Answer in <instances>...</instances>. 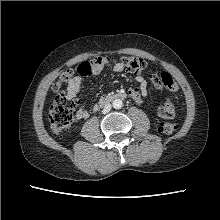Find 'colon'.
Segmentation results:
<instances>
[{"instance_id":"5ec220e1","label":"colon","mask_w":220,"mask_h":220,"mask_svg":"<svg viewBox=\"0 0 220 220\" xmlns=\"http://www.w3.org/2000/svg\"><path fill=\"white\" fill-rule=\"evenodd\" d=\"M110 57H96L92 60L95 64L109 63ZM121 62L126 69L132 73L139 74L143 72L147 63L144 59L137 56H126L121 58ZM84 74H89L92 69L88 63L83 64ZM78 72V68H77ZM75 74L74 69L62 71L58 80L52 85V91L55 94L54 102L49 111V120L51 131L60 136L67 132L75 121L77 113V103L72 100L69 95V83ZM150 80L154 86L166 92H174L177 90V83L173 76L167 72L161 74H150ZM175 107L170 101H166L158 110V114L164 121L159 126V131L162 134L169 135L174 129V123L169 120L175 117Z\"/></svg>"}]
</instances>
